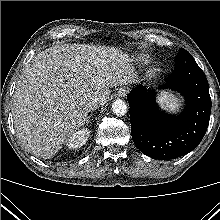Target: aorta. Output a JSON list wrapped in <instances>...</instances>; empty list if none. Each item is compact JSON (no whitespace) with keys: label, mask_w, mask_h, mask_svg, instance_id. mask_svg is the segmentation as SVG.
Instances as JSON below:
<instances>
[{"label":"aorta","mask_w":220,"mask_h":220,"mask_svg":"<svg viewBox=\"0 0 220 220\" xmlns=\"http://www.w3.org/2000/svg\"><path fill=\"white\" fill-rule=\"evenodd\" d=\"M112 112L117 116H123L127 112V105L125 101L117 99L112 103Z\"/></svg>","instance_id":"1"}]
</instances>
